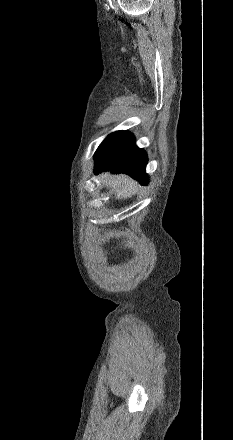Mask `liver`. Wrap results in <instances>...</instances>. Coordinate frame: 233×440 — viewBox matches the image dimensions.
I'll use <instances>...</instances> for the list:
<instances>
[{
  "label": "liver",
  "mask_w": 233,
  "mask_h": 440,
  "mask_svg": "<svg viewBox=\"0 0 233 440\" xmlns=\"http://www.w3.org/2000/svg\"><path fill=\"white\" fill-rule=\"evenodd\" d=\"M101 177L105 186L113 189L116 199L129 198L137 191L136 183L126 175L105 173Z\"/></svg>",
  "instance_id": "liver-1"
}]
</instances>
